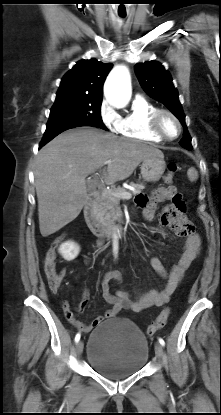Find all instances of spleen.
<instances>
[{
    "label": "spleen",
    "mask_w": 221,
    "mask_h": 415,
    "mask_svg": "<svg viewBox=\"0 0 221 415\" xmlns=\"http://www.w3.org/2000/svg\"><path fill=\"white\" fill-rule=\"evenodd\" d=\"M188 178L191 182H195L198 179V172L195 168H190L187 172Z\"/></svg>",
    "instance_id": "1"
}]
</instances>
